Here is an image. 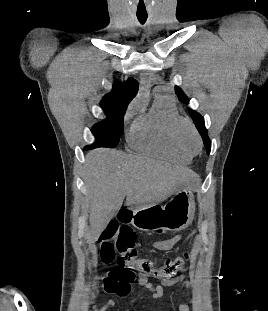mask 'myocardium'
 <instances>
[{
  "label": "myocardium",
  "mask_w": 268,
  "mask_h": 311,
  "mask_svg": "<svg viewBox=\"0 0 268 311\" xmlns=\"http://www.w3.org/2000/svg\"><path fill=\"white\" fill-rule=\"evenodd\" d=\"M187 128L195 137V139L197 140L198 143V148L196 151H192L190 150L184 140H183V129ZM171 136L172 139L175 143V145L184 153H186L189 156H193L197 153H199L202 149L203 143H202V139L201 136L198 132V130L196 129L195 125L193 124V122L185 116H176L171 123Z\"/></svg>",
  "instance_id": "1"
}]
</instances>
